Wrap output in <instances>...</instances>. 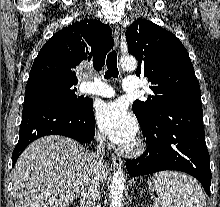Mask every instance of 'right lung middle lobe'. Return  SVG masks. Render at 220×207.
<instances>
[{"mask_svg": "<svg viewBox=\"0 0 220 207\" xmlns=\"http://www.w3.org/2000/svg\"><path fill=\"white\" fill-rule=\"evenodd\" d=\"M27 87H37L53 91L73 107H83L87 104L86 99L76 96L75 92L77 89L73 84H67L58 80L45 79L32 84H27L26 88Z\"/></svg>", "mask_w": 220, "mask_h": 207, "instance_id": "right-lung-middle-lobe-1", "label": "right lung middle lobe"}]
</instances>
